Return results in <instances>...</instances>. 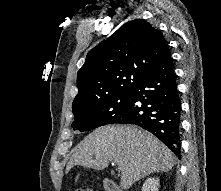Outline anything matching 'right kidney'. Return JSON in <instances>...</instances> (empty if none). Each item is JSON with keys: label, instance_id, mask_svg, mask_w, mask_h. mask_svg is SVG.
<instances>
[{"label": "right kidney", "instance_id": "ca27d5eb", "mask_svg": "<svg viewBox=\"0 0 221 191\" xmlns=\"http://www.w3.org/2000/svg\"><path fill=\"white\" fill-rule=\"evenodd\" d=\"M142 191H159V179L148 178L143 184Z\"/></svg>", "mask_w": 221, "mask_h": 191}]
</instances>
